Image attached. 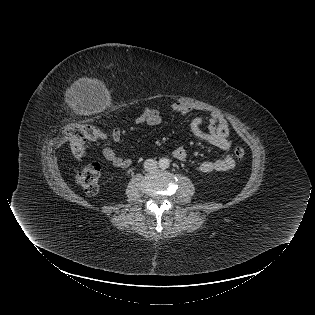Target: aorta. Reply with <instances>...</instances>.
<instances>
[{
    "label": "aorta",
    "instance_id": "aorta-1",
    "mask_svg": "<svg viewBox=\"0 0 315 315\" xmlns=\"http://www.w3.org/2000/svg\"><path fill=\"white\" fill-rule=\"evenodd\" d=\"M159 166L162 168V169H166L170 166V160L168 158H161L159 160Z\"/></svg>",
    "mask_w": 315,
    "mask_h": 315
}]
</instances>
